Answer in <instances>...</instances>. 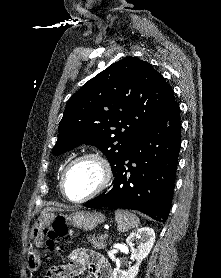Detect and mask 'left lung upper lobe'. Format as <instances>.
Listing matches in <instances>:
<instances>
[{
	"label": "left lung upper lobe",
	"instance_id": "left-lung-upper-lobe-1",
	"mask_svg": "<svg viewBox=\"0 0 221 278\" xmlns=\"http://www.w3.org/2000/svg\"><path fill=\"white\" fill-rule=\"evenodd\" d=\"M176 102L173 90L148 62L127 57L89 80L67 102L53 154L94 145L112 170L128 146Z\"/></svg>",
	"mask_w": 221,
	"mask_h": 278
}]
</instances>
